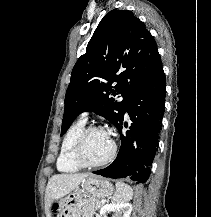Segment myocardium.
<instances>
[{
	"instance_id": "f54148a6",
	"label": "myocardium",
	"mask_w": 211,
	"mask_h": 217,
	"mask_svg": "<svg viewBox=\"0 0 211 217\" xmlns=\"http://www.w3.org/2000/svg\"><path fill=\"white\" fill-rule=\"evenodd\" d=\"M91 131H104V130L94 125L85 127L81 131V133L79 134L76 140V143L74 146V159L81 167H85V168H95V167H101V166L107 165L116 156V152H117L116 142L113 139H111L112 149L109 155L105 159L98 161V162H92L87 159L86 154H85V144H86L87 136Z\"/></svg>"
}]
</instances>
